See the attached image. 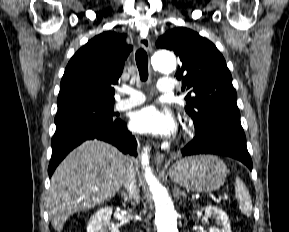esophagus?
I'll list each match as a JSON object with an SVG mask.
<instances>
[{
	"label": "esophagus",
	"mask_w": 289,
	"mask_h": 232,
	"mask_svg": "<svg viewBox=\"0 0 289 232\" xmlns=\"http://www.w3.org/2000/svg\"><path fill=\"white\" fill-rule=\"evenodd\" d=\"M138 44L140 47L145 49L146 51H151V43L150 40L147 37L139 36L138 37ZM164 161V155L160 153L159 151L155 154V163L157 165H161Z\"/></svg>",
	"instance_id": "34e87169"
}]
</instances>
